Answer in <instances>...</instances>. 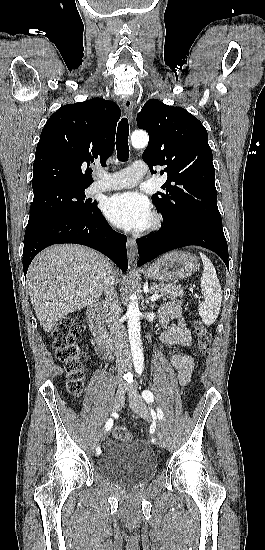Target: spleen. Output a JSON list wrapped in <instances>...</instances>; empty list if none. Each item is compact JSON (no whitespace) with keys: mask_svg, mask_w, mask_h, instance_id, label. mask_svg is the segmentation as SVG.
Masks as SVG:
<instances>
[{"mask_svg":"<svg viewBox=\"0 0 265 550\" xmlns=\"http://www.w3.org/2000/svg\"><path fill=\"white\" fill-rule=\"evenodd\" d=\"M200 257L204 267L201 277V292L205 297V301L199 303L198 310L202 321L206 325H211L219 314L222 291L212 262L203 253H200Z\"/></svg>","mask_w":265,"mask_h":550,"instance_id":"3e777b00","label":"spleen"}]
</instances>
